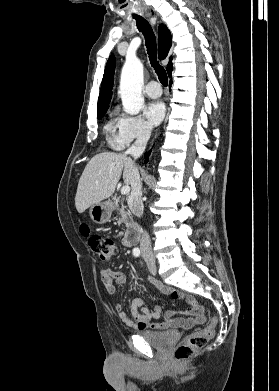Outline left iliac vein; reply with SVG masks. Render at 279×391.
<instances>
[{
	"label": "left iliac vein",
	"instance_id": "left-iliac-vein-1",
	"mask_svg": "<svg viewBox=\"0 0 279 391\" xmlns=\"http://www.w3.org/2000/svg\"><path fill=\"white\" fill-rule=\"evenodd\" d=\"M148 269H149V271H150V273H151L152 275H156V273H157V268H156V265H155L154 262H149V263H148Z\"/></svg>",
	"mask_w": 279,
	"mask_h": 391
}]
</instances>
